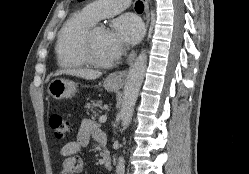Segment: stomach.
<instances>
[{"mask_svg": "<svg viewBox=\"0 0 249 174\" xmlns=\"http://www.w3.org/2000/svg\"><path fill=\"white\" fill-rule=\"evenodd\" d=\"M104 87L108 91H117L120 85L108 77L104 81ZM77 92V84L73 81L57 78L48 85V93L55 99L69 98Z\"/></svg>", "mask_w": 249, "mask_h": 174, "instance_id": "obj_1", "label": "stomach"}]
</instances>
